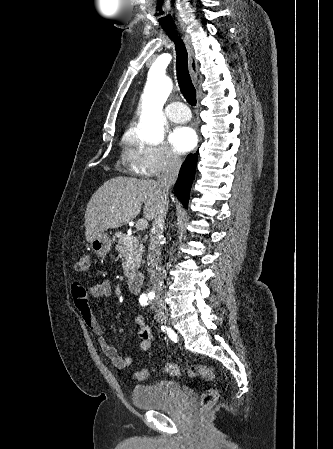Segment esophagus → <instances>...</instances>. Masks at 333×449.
I'll return each instance as SVG.
<instances>
[{"label": "esophagus", "mask_w": 333, "mask_h": 449, "mask_svg": "<svg viewBox=\"0 0 333 449\" xmlns=\"http://www.w3.org/2000/svg\"><path fill=\"white\" fill-rule=\"evenodd\" d=\"M179 33L182 35V37L184 39V42L186 44V47L188 49L190 72H191L193 78L197 79L198 65H197V61H196L195 56H194V51H193V48H192V45H191L190 37L183 29H179Z\"/></svg>", "instance_id": "1"}]
</instances>
